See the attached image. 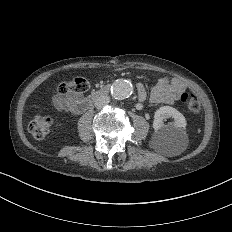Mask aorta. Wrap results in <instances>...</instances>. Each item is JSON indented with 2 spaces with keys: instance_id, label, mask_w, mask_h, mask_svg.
Returning <instances> with one entry per match:
<instances>
[{
  "instance_id": "obj_1",
  "label": "aorta",
  "mask_w": 232,
  "mask_h": 232,
  "mask_svg": "<svg viewBox=\"0 0 232 232\" xmlns=\"http://www.w3.org/2000/svg\"><path fill=\"white\" fill-rule=\"evenodd\" d=\"M133 91L132 84L123 79L116 80L111 87V94L115 99L128 98Z\"/></svg>"
}]
</instances>
